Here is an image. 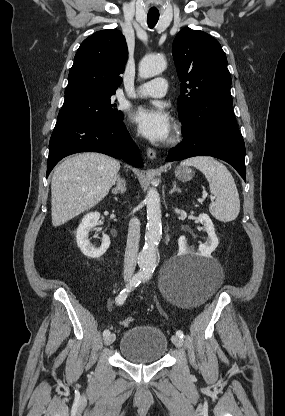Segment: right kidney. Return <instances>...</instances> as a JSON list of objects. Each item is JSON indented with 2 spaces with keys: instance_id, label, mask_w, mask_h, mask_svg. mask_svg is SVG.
<instances>
[{
  "instance_id": "ca27d5eb",
  "label": "right kidney",
  "mask_w": 285,
  "mask_h": 416,
  "mask_svg": "<svg viewBox=\"0 0 285 416\" xmlns=\"http://www.w3.org/2000/svg\"><path fill=\"white\" fill-rule=\"evenodd\" d=\"M100 218L99 212H90V214H86L84 216L80 226H78L76 230V242L78 248H80L82 254L87 256V258H101L103 254H105L106 250H108L110 246V238L107 234H103L101 240L102 244L100 248H95L93 244H90L88 240V234L92 228L97 226V222Z\"/></svg>"
}]
</instances>
